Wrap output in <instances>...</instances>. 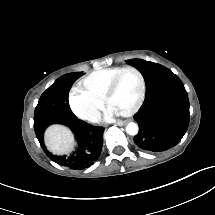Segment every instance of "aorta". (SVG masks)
<instances>
[{
  "mask_svg": "<svg viewBox=\"0 0 215 215\" xmlns=\"http://www.w3.org/2000/svg\"><path fill=\"white\" fill-rule=\"evenodd\" d=\"M125 129L129 135H135L138 132V125L135 122H129Z\"/></svg>",
  "mask_w": 215,
  "mask_h": 215,
  "instance_id": "aorta-1",
  "label": "aorta"
}]
</instances>
